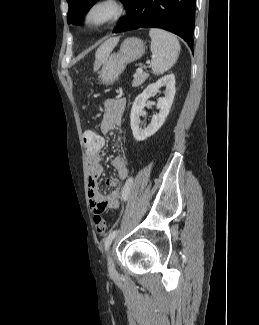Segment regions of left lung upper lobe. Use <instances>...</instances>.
Instances as JSON below:
<instances>
[{"instance_id":"1","label":"left lung upper lobe","mask_w":259,"mask_h":325,"mask_svg":"<svg viewBox=\"0 0 259 325\" xmlns=\"http://www.w3.org/2000/svg\"><path fill=\"white\" fill-rule=\"evenodd\" d=\"M98 0H67L69 4V11L67 21L69 24H78L83 15L90 9V7ZM124 5H127L129 0H121Z\"/></svg>"}]
</instances>
